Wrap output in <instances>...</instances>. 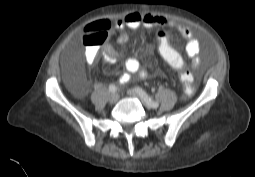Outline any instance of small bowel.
<instances>
[{"mask_svg":"<svg viewBox=\"0 0 255 177\" xmlns=\"http://www.w3.org/2000/svg\"><path fill=\"white\" fill-rule=\"evenodd\" d=\"M155 26L169 27L180 33V35L186 40V55L192 61V69H195L199 62L200 44L189 27L178 24L165 16L152 15L148 13H129L115 22V27L120 31H124L127 28L140 29ZM127 40L128 34L125 32H122L117 38V42L120 44L125 43ZM98 55L99 53L96 48H89L86 54L88 62L94 63L97 60ZM119 55L120 53L110 45L106 46L103 52V57L108 62L115 61ZM133 76L144 79L147 77V73L142 70L139 60L131 57L125 61L124 71L119 76V82L126 83Z\"/></svg>","mask_w":255,"mask_h":177,"instance_id":"obj_1","label":"small bowel"}]
</instances>
